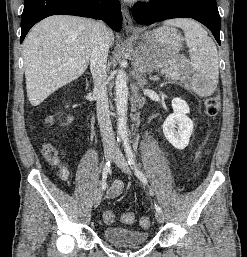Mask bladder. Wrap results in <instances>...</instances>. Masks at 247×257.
Segmentation results:
<instances>
[{"instance_id":"31cf9c89","label":"bladder","mask_w":247,"mask_h":257,"mask_svg":"<svg viewBox=\"0 0 247 257\" xmlns=\"http://www.w3.org/2000/svg\"><path fill=\"white\" fill-rule=\"evenodd\" d=\"M103 239L115 246H137L149 241L147 231H138L122 227H107L102 231Z\"/></svg>"}]
</instances>
